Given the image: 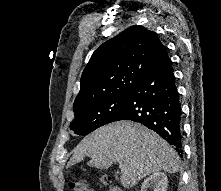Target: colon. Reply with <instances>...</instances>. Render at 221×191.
I'll return each instance as SVG.
<instances>
[{
  "mask_svg": "<svg viewBox=\"0 0 221 191\" xmlns=\"http://www.w3.org/2000/svg\"><path fill=\"white\" fill-rule=\"evenodd\" d=\"M101 183L106 185L110 183V179L107 176H102ZM69 187L71 191H93L84 179L71 180Z\"/></svg>",
  "mask_w": 221,
  "mask_h": 191,
  "instance_id": "5ec220e1",
  "label": "colon"
}]
</instances>
